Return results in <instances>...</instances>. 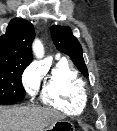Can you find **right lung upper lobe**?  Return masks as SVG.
Segmentation results:
<instances>
[{
    "label": "right lung upper lobe",
    "mask_w": 117,
    "mask_h": 131,
    "mask_svg": "<svg viewBox=\"0 0 117 131\" xmlns=\"http://www.w3.org/2000/svg\"><path fill=\"white\" fill-rule=\"evenodd\" d=\"M35 37L33 25L22 18L10 21L0 37V66H28L32 61L31 43Z\"/></svg>",
    "instance_id": "cb5924a9"
}]
</instances>
